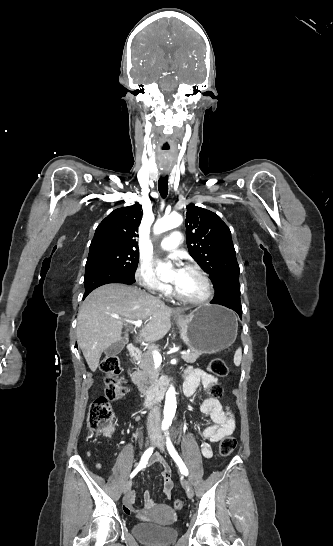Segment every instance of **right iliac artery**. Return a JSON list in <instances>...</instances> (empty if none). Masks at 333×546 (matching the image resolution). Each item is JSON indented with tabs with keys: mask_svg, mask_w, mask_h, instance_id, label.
I'll return each mask as SVG.
<instances>
[{
	"mask_svg": "<svg viewBox=\"0 0 333 546\" xmlns=\"http://www.w3.org/2000/svg\"><path fill=\"white\" fill-rule=\"evenodd\" d=\"M153 449L154 447H150L148 448L144 454L142 455V458H141V461L139 463V465L137 466V468L131 473L130 475V478L132 479L141 469L145 468L147 463H148V460L150 458V456L152 455L153 453Z\"/></svg>",
	"mask_w": 333,
	"mask_h": 546,
	"instance_id": "right-iliac-artery-1",
	"label": "right iliac artery"
}]
</instances>
